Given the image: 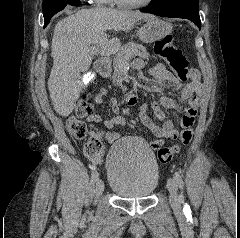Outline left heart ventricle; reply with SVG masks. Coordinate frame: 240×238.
<instances>
[{
	"instance_id": "b2bd125f",
	"label": "left heart ventricle",
	"mask_w": 240,
	"mask_h": 238,
	"mask_svg": "<svg viewBox=\"0 0 240 238\" xmlns=\"http://www.w3.org/2000/svg\"><path fill=\"white\" fill-rule=\"evenodd\" d=\"M124 1H127V2H141V1H144V0H124Z\"/></svg>"
}]
</instances>
